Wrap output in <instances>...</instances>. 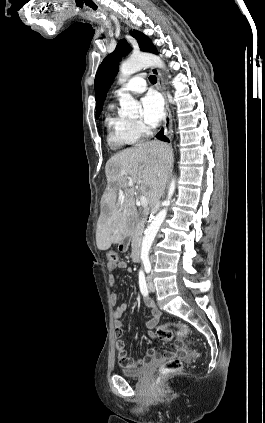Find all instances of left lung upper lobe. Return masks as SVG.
<instances>
[{
  "label": "left lung upper lobe",
  "mask_w": 265,
  "mask_h": 423,
  "mask_svg": "<svg viewBox=\"0 0 265 423\" xmlns=\"http://www.w3.org/2000/svg\"><path fill=\"white\" fill-rule=\"evenodd\" d=\"M130 34L137 39L142 51L157 53L156 48L150 39L138 31H130ZM131 51V47L126 40L122 39L116 46L113 53L109 54L101 63L95 76V97H96V118L99 117L107 92L118 72V65L121 57Z\"/></svg>",
  "instance_id": "obj_1"
}]
</instances>
